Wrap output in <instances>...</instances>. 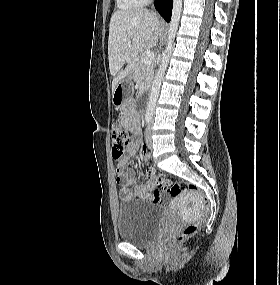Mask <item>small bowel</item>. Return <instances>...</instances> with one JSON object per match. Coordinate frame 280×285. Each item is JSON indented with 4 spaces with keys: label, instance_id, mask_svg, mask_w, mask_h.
I'll return each mask as SVG.
<instances>
[{
    "label": "small bowel",
    "instance_id": "small-bowel-1",
    "mask_svg": "<svg viewBox=\"0 0 280 285\" xmlns=\"http://www.w3.org/2000/svg\"><path fill=\"white\" fill-rule=\"evenodd\" d=\"M122 124L132 133L134 137H139L140 121L137 116L123 118ZM139 145L140 144L138 140L132 142L127 149L128 155L121 156L117 159L115 181L116 183L122 185V188L119 192V198L121 201H127L131 198H140L149 200L154 204H165L167 198L163 196L159 191L154 189L153 182L148 181L144 184H136L137 180L131 177L129 171L126 170L128 163L133 158H135ZM144 148H146L145 145Z\"/></svg>",
    "mask_w": 280,
    "mask_h": 285
}]
</instances>
